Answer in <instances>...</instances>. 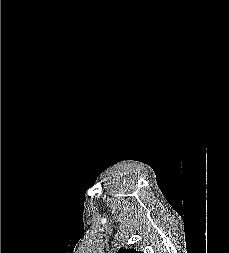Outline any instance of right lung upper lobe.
I'll list each match as a JSON object with an SVG mask.
<instances>
[{"label": "right lung upper lobe", "instance_id": "1", "mask_svg": "<svg viewBox=\"0 0 229 253\" xmlns=\"http://www.w3.org/2000/svg\"><path fill=\"white\" fill-rule=\"evenodd\" d=\"M118 253H143V252H138V251H136L135 249H120L119 251H118Z\"/></svg>", "mask_w": 229, "mask_h": 253}]
</instances>
